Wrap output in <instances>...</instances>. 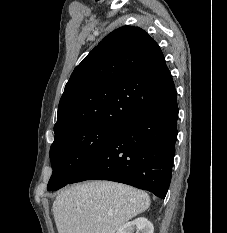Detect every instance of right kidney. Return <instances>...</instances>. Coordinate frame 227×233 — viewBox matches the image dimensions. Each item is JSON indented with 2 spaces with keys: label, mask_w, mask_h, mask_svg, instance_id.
I'll return each mask as SVG.
<instances>
[{
  "label": "right kidney",
  "mask_w": 227,
  "mask_h": 233,
  "mask_svg": "<svg viewBox=\"0 0 227 233\" xmlns=\"http://www.w3.org/2000/svg\"><path fill=\"white\" fill-rule=\"evenodd\" d=\"M153 233V224L144 217L137 218L121 226L116 233Z\"/></svg>",
  "instance_id": "ca27d5eb"
}]
</instances>
